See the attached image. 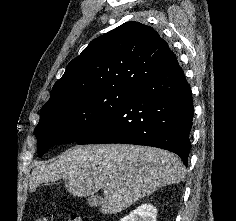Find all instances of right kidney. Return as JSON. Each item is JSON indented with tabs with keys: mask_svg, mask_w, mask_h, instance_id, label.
<instances>
[{
	"mask_svg": "<svg viewBox=\"0 0 236 221\" xmlns=\"http://www.w3.org/2000/svg\"><path fill=\"white\" fill-rule=\"evenodd\" d=\"M156 215V207L151 204H143L120 221H156Z\"/></svg>",
	"mask_w": 236,
	"mask_h": 221,
	"instance_id": "1",
	"label": "right kidney"
}]
</instances>
